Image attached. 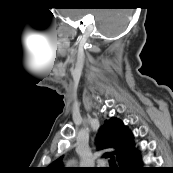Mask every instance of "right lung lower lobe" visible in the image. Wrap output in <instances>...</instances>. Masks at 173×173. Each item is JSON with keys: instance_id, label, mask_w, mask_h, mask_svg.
<instances>
[{"instance_id": "1", "label": "right lung lower lobe", "mask_w": 173, "mask_h": 173, "mask_svg": "<svg viewBox=\"0 0 173 173\" xmlns=\"http://www.w3.org/2000/svg\"><path fill=\"white\" fill-rule=\"evenodd\" d=\"M151 168L143 167L140 153L135 149L119 164L116 173H153Z\"/></svg>"}]
</instances>
